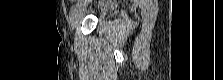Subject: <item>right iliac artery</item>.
<instances>
[{
    "instance_id": "1",
    "label": "right iliac artery",
    "mask_w": 223,
    "mask_h": 80,
    "mask_svg": "<svg viewBox=\"0 0 223 80\" xmlns=\"http://www.w3.org/2000/svg\"><path fill=\"white\" fill-rule=\"evenodd\" d=\"M80 6V3L78 2L76 5H75V7H73V10H75L77 7H79Z\"/></svg>"
}]
</instances>
